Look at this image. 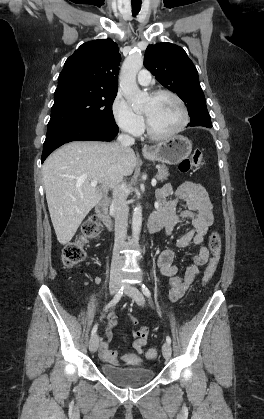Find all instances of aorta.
<instances>
[{"mask_svg":"<svg viewBox=\"0 0 264 419\" xmlns=\"http://www.w3.org/2000/svg\"><path fill=\"white\" fill-rule=\"evenodd\" d=\"M143 66V57L141 54L135 53L129 55L121 69L120 87L133 109L141 108L148 100V93L141 91L136 83V75ZM142 226V207L137 204L133 211L132 217V235L136 241L139 238Z\"/></svg>","mask_w":264,"mask_h":419,"instance_id":"aorta-1","label":"aorta"}]
</instances>
